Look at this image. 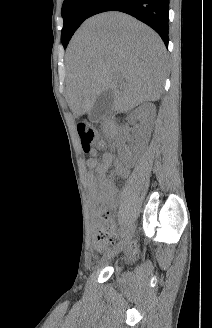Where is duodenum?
Returning a JSON list of instances; mask_svg holds the SVG:
<instances>
[{
    "label": "duodenum",
    "instance_id": "duodenum-1",
    "mask_svg": "<svg viewBox=\"0 0 212 328\" xmlns=\"http://www.w3.org/2000/svg\"><path fill=\"white\" fill-rule=\"evenodd\" d=\"M104 128L105 131L111 136V137H115L117 135L118 132V126H117V122L115 121V119L111 116H106L104 118Z\"/></svg>",
    "mask_w": 212,
    "mask_h": 328
}]
</instances>
